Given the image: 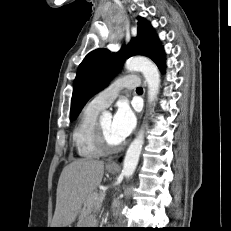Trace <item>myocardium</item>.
Segmentation results:
<instances>
[{
	"label": "myocardium",
	"instance_id": "f54148a6",
	"mask_svg": "<svg viewBox=\"0 0 231 231\" xmlns=\"http://www.w3.org/2000/svg\"><path fill=\"white\" fill-rule=\"evenodd\" d=\"M95 141L98 148L103 153H114L122 148V143H119L117 145H111L107 142L100 122H97L95 126Z\"/></svg>",
	"mask_w": 231,
	"mask_h": 231
}]
</instances>
